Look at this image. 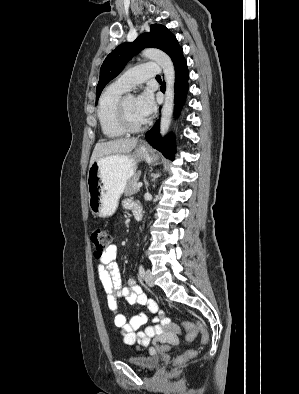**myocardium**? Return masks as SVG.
<instances>
[{"label": "myocardium", "instance_id": "myocardium-1", "mask_svg": "<svg viewBox=\"0 0 299 394\" xmlns=\"http://www.w3.org/2000/svg\"><path fill=\"white\" fill-rule=\"evenodd\" d=\"M129 96H122L120 100L118 101L117 107H116V119L117 123L120 126V128L126 132V133H136L141 130H143L146 125L147 121H144L140 125H132L127 119L126 112H125V102L126 99Z\"/></svg>", "mask_w": 299, "mask_h": 394}]
</instances>
